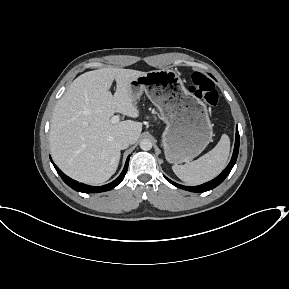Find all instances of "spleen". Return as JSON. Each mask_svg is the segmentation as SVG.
I'll return each mask as SVG.
<instances>
[{"label": "spleen", "mask_w": 289, "mask_h": 289, "mask_svg": "<svg viewBox=\"0 0 289 289\" xmlns=\"http://www.w3.org/2000/svg\"><path fill=\"white\" fill-rule=\"evenodd\" d=\"M230 152V139L223 134L218 144L197 160L173 165L175 175L189 185H199L216 177L226 166Z\"/></svg>", "instance_id": "1"}]
</instances>
